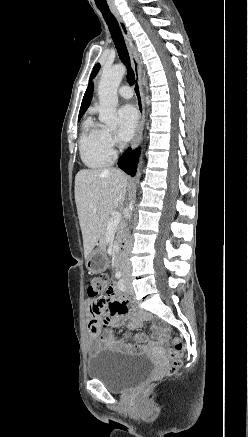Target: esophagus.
I'll use <instances>...</instances> for the list:
<instances>
[{
	"mask_svg": "<svg viewBox=\"0 0 248 437\" xmlns=\"http://www.w3.org/2000/svg\"><path fill=\"white\" fill-rule=\"evenodd\" d=\"M113 14L118 21L122 35L124 37L129 52L131 64L135 74L134 94L136 98V105L139 115L137 130L132 142V149H135L142 139V133H143L144 122H145V107H144V97H143L142 81H141L142 67L125 22L123 21L122 17L119 15L118 11L113 10Z\"/></svg>",
	"mask_w": 248,
	"mask_h": 437,
	"instance_id": "1",
	"label": "esophagus"
}]
</instances>
